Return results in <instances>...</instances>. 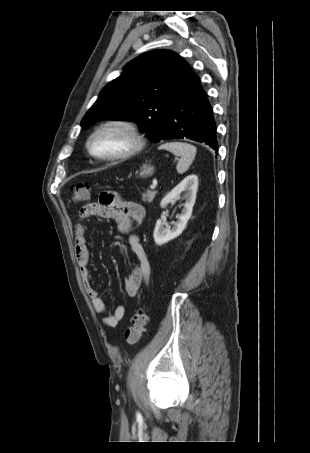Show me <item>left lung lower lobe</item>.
<instances>
[{"instance_id": "0a47b994", "label": "left lung lower lobe", "mask_w": 310, "mask_h": 453, "mask_svg": "<svg viewBox=\"0 0 310 453\" xmlns=\"http://www.w3.org/2000/svg\"><path fill=\"white\" fill-rule=\"evenodd\" d=\"M216 122L200 79L190 70L181 95L168 115L160 140L191 139L218 150Z\"/></svg>"}]
</instances>
